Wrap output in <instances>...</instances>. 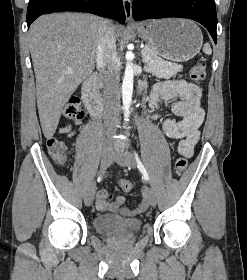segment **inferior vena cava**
I'll use <instances>...</instances> for the list:
<instances>
[{
  "instance_id": "602c4592",
  "label": "inferior vena cava",
  "mask_w": 247,
  "mask_h": 280,
  "mask_svg": "<svg viewBox=\"0 0 247 280\" xmlns=\"http://www.w3.org/2000/svg\"><path fill=\"white\" fill-rule=\"evenodd\" d=\"M96 62L103 81L107 131L114 134L120 110V84L115 28L109 20H101L98 28Z\"/></svg>"
}]
</instances>
